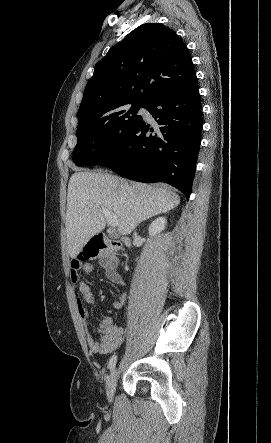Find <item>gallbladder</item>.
<instances>
[{
	"label": "gallbladder",
	"mask_w": 271,
	"mask_h": 443,
	"mask_svg": "<svg viewBox=\"0 0 271 443\" xmlns=\"http://www.w3.org/2000/svg\"><path fill=\"white\" fill-rule=\"evenodd\" d=\"M110 237H118V233H109Z\"/></svg>",
	"instance_id": "gallbladder-1"
}]
</instances>
